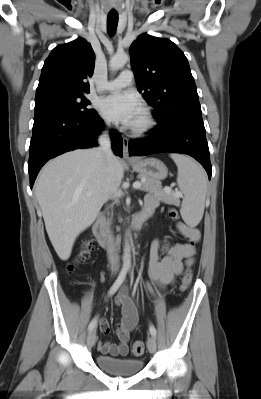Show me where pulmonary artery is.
I'll use <instances>...</instances> for the list:
<instances>
[{
    "instance_id": "e3ab8cb5",
    "label": "pulmonary artery",
    "mask_w": 261,
    "mask_h": 399,
    "mask_svg": "<svg viewBox=\"0 0 261 399\" xmlns=\"http://www.w3.org/2000/svg\"><path fill=\"white\" fill-rule=\"evenodd\" d=\"M133 82V72L131 70H123L119 76L108 81L102 88L107 91H114L126 87Z\"/></svg>"
}]
</instances>
